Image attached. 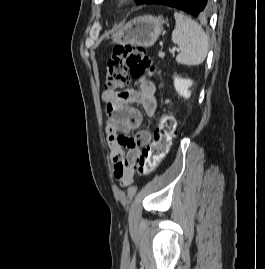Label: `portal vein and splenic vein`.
Here are the masks:
<instances>
[{
    "label": "portal vein and splenic vein",
    "mask_w": 265,
    "mask_h": 269,
    "mask_svg": "<svg viewBox=\"0 0 265 269\" xmlns=\"http://www.w3.org/2000/svg\"><path fill=\"white\" fill-rule=\"evenodd\" d=\"M170 51H171L172 53H174L175 51H179V48H177V47H173Z\"/></svg>",
    "instance_id": "1"
}]
</instances>
